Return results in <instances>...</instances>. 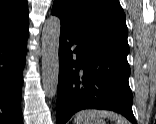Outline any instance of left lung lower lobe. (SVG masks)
Returning a JSON list of instances; mask_svg holds the SVG:
<instances>
[{
    "instance_id": "left-lung-lower-lobe-1",
    "label": "left lung lower lobe",
    "mask_w": 156,
    "mask_h": 124,
    "mask_svg": "<svg viewBox=\"0 0 156 124\" xmlns=\"http://www.w3.org/2000/svg\"><path fill=\"white\" fill-rule=\"evenodd\" d=\"M127 54L61 23L57 124L82 109L113 110L137 124L132 112Z\"/></svg>"
}]
</instances>
